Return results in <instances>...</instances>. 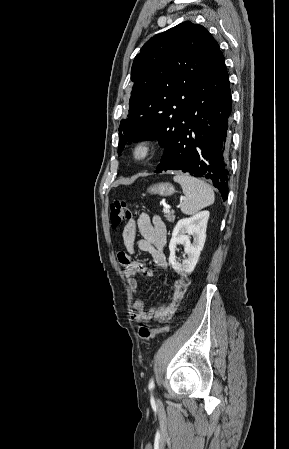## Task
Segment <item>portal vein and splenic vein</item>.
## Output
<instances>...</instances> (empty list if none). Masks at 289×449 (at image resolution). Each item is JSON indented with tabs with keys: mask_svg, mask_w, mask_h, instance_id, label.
<instances>
[{
	"mask_svg": "<svg viewBox=\"0 0 289 449\" xmlns=\"http://www.w3.org/2000/svg\"><path fill=\"white\" fill-rule=\"evenodd\" d=\"M163 210H164V212H165V213H169V212H170V209H169V207H168V206L164 207V209H163Z\"/></svg>",
	"mask_w": 289,
	"mask_h": 449,
	"instance_id": "1",
	"label": "portal vein and splenic vein"
}]
</instances>
